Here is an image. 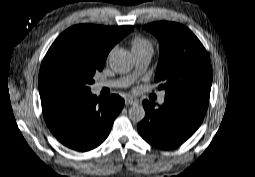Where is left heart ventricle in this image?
Segmentation results:
<instances>
[{
  "mask_svg": "<svg viewBox=\"0 0 255 177\" xmlns=\"http://www.w3.org/2000/svg\"><path fill=\"white\" fill-rule=\"evenodd\" d=\"M129 79L135 80L139 76L138 70L134 67L129 73Z\"/></svg>",
  "mask_w": 255,
  "mask_h": 177,
  "instance_id": "b2bd125f",
  "label": "left heart ventricle"
}]
</instances>
